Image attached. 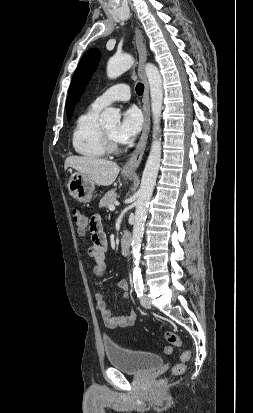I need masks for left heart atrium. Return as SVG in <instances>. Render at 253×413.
<instances>
[{
    "instance_id": "1",
    "label": "left heart atrium",
    "mask_w": 253,
    "mask_h": 413,
    "mask_svg": "<svg viewBox=\"0 0 253 413\" xmlns=\"http://www.w3.org/2000/svg\"><path fill=\"white\" fill-rule=\"evenodd\" d=\"M142 115L140 111L131 107L123 114L121 121L115 130V139L122 144L129 143L134 140L142 128Z\"/></svg>"
}]
</instances>
